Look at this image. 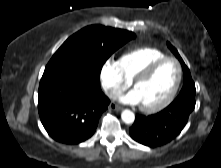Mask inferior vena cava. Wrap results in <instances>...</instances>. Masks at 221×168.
<instances>
[{
	"mask_svg": "<svg viewBox=\"0 0 221 168\" xmlns=\"http://www.w3.org/2000/svg\"><path fill=\"white\" fill-rule=\"evenodd\" d=\"M106 93L110 98H116L117 96H119V93L115 90H112V89L106 91Z\"/></svg>",
	"mask_w": 221,
	"mask_h": 168,
	"instance_id": "obj_1",
	"label": "inferior vena cava"
}]
</instances>
